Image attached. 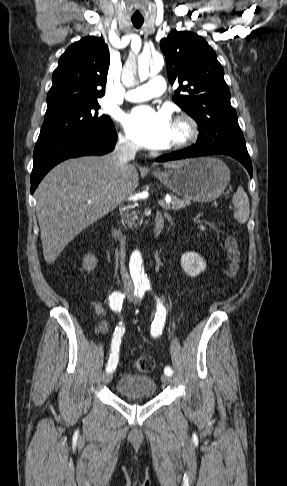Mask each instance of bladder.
Returning a JSON list of instances; mask_svg holds the SVG:
<instances>
[{
	"mask_svg": "<svg viewBox=\"0 0 287 486\" xmlns=\"http://www.w3.org/2000/svg\"><path fill=\"white\" fill-rule=\"evenodd\" d=\"M116 391L127 397H153L157 386L153 377L145 374H125L115 385Z\"/></svg>",
	"mask_w": 287,
	"mask_h": 486,
	"instance_id": "31cf9c89",
	"label": "bladder"
}]
</instances>
